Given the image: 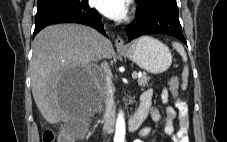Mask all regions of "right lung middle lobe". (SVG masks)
I'll return each instance as SVG.
<instances>
[{"instance_id": "right-lung-middle-lobe-1", "label": "right lung middle lobe", "mask_w": 227, "mask_h": 142, "mask_svg": "<svg viewBox=\"0 0 227 142\" xmlns=\"http://www.w3.org/2000/svg\"><path fill=\"white\" fill-rule=\"evenodd\" d=\"M79 2L80 0H38L37 9H43L57 5L77 4Z\"/></svg>"}]
</instances>
